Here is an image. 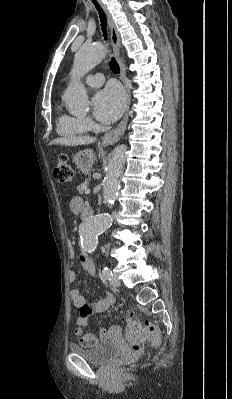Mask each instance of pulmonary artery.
I'll list each match as a JSON object with an SVG mask.
<instances>
[{
    "mask_svg": "<svg viewBox=\"0 0 232 399\" xmlns=\"http://www.w3.org/2000/svg\"><path fill=\"white\" fill-rule=\"evenodd\" d=\"M89 88L88 90H100L101 84H107V77H103L102 73H91L87 79Z\"/></svg>",
    "mask_w": 232,
    "mask_h": 399,
    "instance_id": "e3ab8cb5",
    "label": "pulmonary artery"
}]
</instances>
